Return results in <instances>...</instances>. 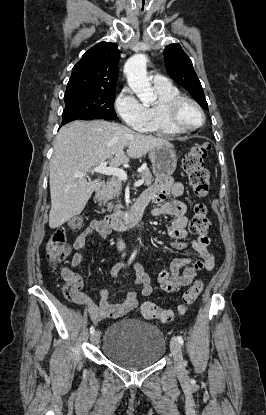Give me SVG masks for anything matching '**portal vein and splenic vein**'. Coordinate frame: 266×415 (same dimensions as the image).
<instances>
[{"mask_svg":"<svg viewBox=\"0 0 266 415\" xmlns=\"http://www.w3.org/2000/svg\"><path fill=\"white\" fill-rule=\"evenodd\" d=\"M108 162H102L100 163L98 166L94 167L92 169L91 172H96V173H100V174H104V175H112V176H116L118 178H120L122 181H127V174L126 172L119 168V167H115V166H107ZM87 176V173H75L74 177L77 178H81V177H85ZM144 180H138L137 182L134 183L135 187L141 186L143 185Z\"/></svg>","mask_w":266,"mask_h":415,"instance_id":"18ae733b","label":"portal vein and splenic vein"}]
</instances>
